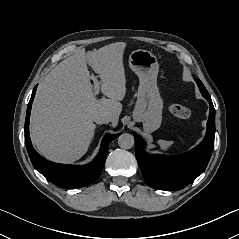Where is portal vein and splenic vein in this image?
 <instances>
[{"label":"portal vein and splenic vein","instance_id":"portal-vein-and-splenic-vein-1","mask_svg":"<svg viewBox=\"0 0 239 239\" xmlns=\"http://www.w3.org/2000/svg\"><path fill=\"white\" fill-rule=\"evenodd\" d=\"M100 90V83L97 79H94V95L97 96Z\"/></svg>","mask_w":239,"mask_h":239}]
</instances>
